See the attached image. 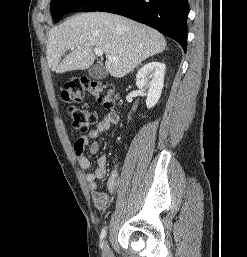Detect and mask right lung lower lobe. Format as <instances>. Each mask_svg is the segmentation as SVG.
Returning <instances> with one entry per match:
<instances>
[{"mask_svg": "<svg viewBox=\"0 0 247 257\" xmlns=\"http://www.w3.org/2000/svg\"><path fill=\"white\" fill-rule=\"evenodd\" d=\"M83 12L119 14L157 29L186 52L188 0H93Z\"/></svg>", "mask_w": 247, "mask_h": 257, "instance_id": "right-lung-lower-lobe-1", "label": "right lung lower lobe"}]
</instances>
